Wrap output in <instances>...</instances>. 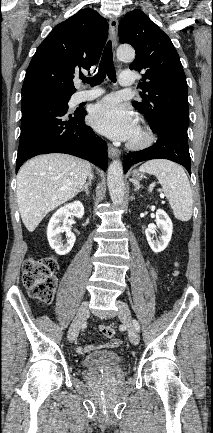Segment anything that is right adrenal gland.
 <instances>
[{
	"label": "right adrenal gland",
	"mask_w": 213,
	"mask_h": 433,
	"mask_svg": "<svg viewBox=\"0 0 213 433\" xmlns=\"http://www.w3.org/2000/svg\"><path fill=\"white\" fill-rule=\"evenodd\" d=\"M90 186H91V182L88 181L79 192H85V194L88 196L90 193L89 191Z\"/></svg>",
	"instance_id": "obj_1"
}]
</instances>
